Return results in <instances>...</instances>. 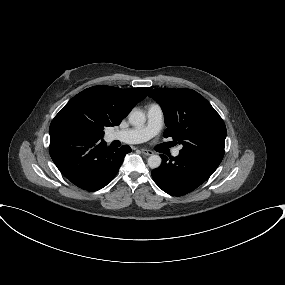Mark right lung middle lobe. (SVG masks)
<instances>
[{
  "instance_id": "obj_1",
  "label": "right lung middle lobe",
  "mask_w": 285,
  "mask_h": 285,
  "mask_svg": "<svg viewBox=\"0 0 285 285\" xmlns=\"http://www.w3.org/2000/svg\"><path fill=\"white\" fill-rule=\"evenodd\" d=\"M69 135L75 136L79 139L87 140V141H95V137L89 131L82 128H72L69 131Z\"/></svg>"
}]
</instances>
